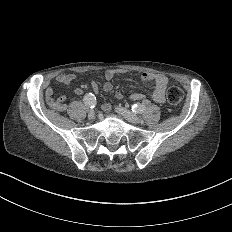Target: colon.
Wrapping results in <instances>:
<instances>
[{"instance_id":"1","label":"colon","mask_w":232,"mask_h":232,"mask_svg":"<svg viewBox=\"0 0 232 232\" xmlns=\"http://www.w3.org/2000/svg\"><path fill=\"white\" fill-rule=\"evenodd\" d=\"M166 98L169 102H165V107H183L181 86H168ZM47 107L52 112L65 113L64 96H52L47 102Z\"/></svg>"}]
</instances>
